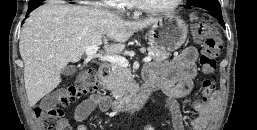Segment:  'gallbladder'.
Segmentation results:
<instances>
[{"label": "gallbladder", "mask_w": 257, "mask_h": 130, "mask_svg": "<svg viewBox=\"0 0 257 130\" xmlns=\"http://www.w3.org/2000/svg\"><path fill=\"white\" fill-rule=\"evenodd\" d=\"M62 74L65 76L73 75L76 72V68L74 66H66L62 69Z\"/></svg>", "instance_id": "obj_1"}]
</instances>
